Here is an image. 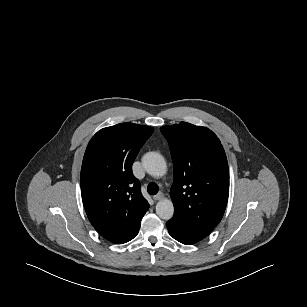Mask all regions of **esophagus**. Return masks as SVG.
<instances>
[{
    "mask_svg": "<svg viewBox=\"0 0 307 307\" xmlns=\"http://www.w3.org/2000/svg\"><path fill=\"white\" fill-rule=\"evenodd\" d=\"M164 197V194L162 192L158 193L157 195L153 196V199L155 201L161 200Z\"/></svg>",
    "mask_w": 307,
    "mask_h": 307,
    "instance_id": "1",
    "label": "esophagus"
}]
</instances>
